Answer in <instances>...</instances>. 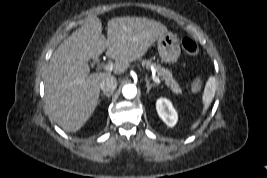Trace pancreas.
<instances>
[{"label": "pancreas", "mask_w": 267, "mask_h": 178, "mask_svg": "<svg viewBox=\"0 0 267 178\" xmlns=\"http://www.w3.org/2000/svg\"><path fill=\"white\" fill-rule=\"evenodd\" d=\"M144 64L146 66H149L150 64L153 66L154 70L156 71L158 77L165 81V84L170 88L172 92L175 94H182V90L179 87L178 83L173 79L172 73L168 70L162 67L160 64L151 63V61H144Z\"/></svg>", "instance_id": "cf45deb5"}]
</instances>
